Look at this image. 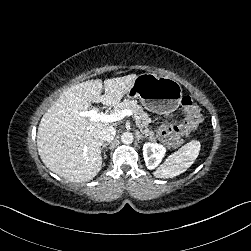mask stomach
<instances>
[{"mask_svg":"<svg viewBox=\"0 0 251 251\" xmlns=\"http://www.w3.org/2000/svg\"><path fill=\"white\" fill-rule=\"evenodd\" d=\"M127 97L139 99L149 111L165 114L178 107L182 89L177 81L168 76L143 73L134 79Z\"/></svg>","mask_w":251,"mask_h":251,"instance_id":"1","label":"stomach"}]
</instances>
